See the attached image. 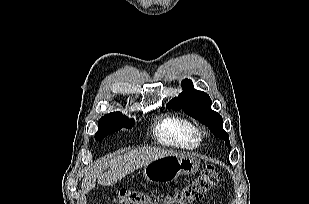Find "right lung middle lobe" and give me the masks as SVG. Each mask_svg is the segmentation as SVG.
Listing matches in <instances>:
<instances>
[{"label":"right lung middle lobe","instance_id":"1","mask_svg":"<svg viewBox=\"0 0 309 204\" xmlns=\"http://www.w3.org/2000/svg\"><path fill=\"white\" fill-rule=\"evenodd\" d=\"M134 126V121L128 119L125 115L120 112H114L107 114L100 118L98 123V131L95 134V139L97 141L102 140L107 135L120 130L125 127L130 129Z\"/></svg>","mask_w":309,"mask_h":204}]
</instances>
